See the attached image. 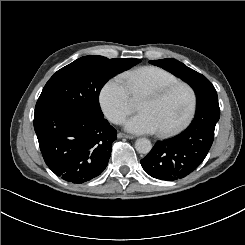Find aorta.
<instances>
[{
    "mask_svg": "<svg viewBox=\"0 0 245 245\" xmlns=\"http://www.w3.org/2000/svg\"><path fill=\"white\" fill-rule=\"evenodd\" d=\"M135 148L140 154H148L152 149V144L146 138H139L135 142Z\"/></svg>",
    "mask_w": 245,
    "mask_h": 245,
    "instance_id": "obj_1",
    "label": "aorta"
}]
</instances>
